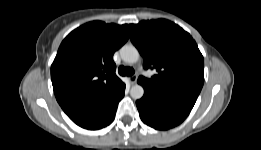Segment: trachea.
<instances>
[{
    "instance_id": "obj_1",
    "label": "trachea",
    "mask_w": 261,
    "mask_h": 150,
    "mask_svg": "<svg viewBox=\"0 0 261 150\" xmlns=\"http://www.w3.org/2000/svg\"><path fill=\"white\" fill-rule=\"evenodd\" d=\"M134 72H135L134 69L131 67L120 66L118 69V73L121 76H132Z\"/></svg>"
}]
</instances>
